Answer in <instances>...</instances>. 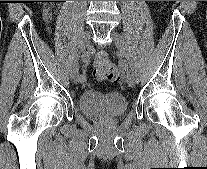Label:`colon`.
Masks as SVG:
<instances>
[{
	"instance_id": "obj_1",
	"label": "colon",
	"mask_w": 207,
	"mask_h": 169,
	"mask_svg": "<svg viewBox=\"0 0 207 169\" xmlns=\"http://www.w3.org/2000/svg\"><path fill=\"white\" fill-rule=\"evenodd\" d=\"M94 77L99 81L118 82L120 73L105 53H98L93 63Z\"/></svg>"
}]
</instances>
